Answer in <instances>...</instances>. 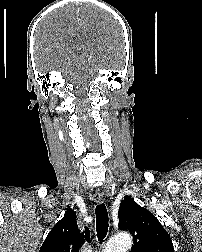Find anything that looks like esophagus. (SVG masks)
<instances>
[{"instance_id":"obj_1","label":"esophagus","mask_w":202,"mask_h":252,"mask_svg":"<svg viewBox=\"0 0 202 252\" xmlns=\"http://www.w3.org/2000/svg\"><path fill=\"white\" fill-rule=\"evenodd\" d=\"M93 199H94V202L97 204H100L104 201V196L99 189L96 190V192L94 193Z\"/></svg>"}]
</instances>
